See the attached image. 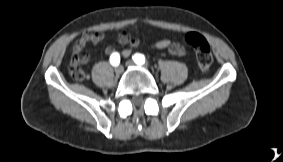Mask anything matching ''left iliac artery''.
Instances as JSON below:
<instances>
[{
    "instance_id": "1",
    "label": "left iliac artery",
    "mask_w": 283,
    "mask_h": 162,
    "mask_svg": "<svg viewBox=\"0 0 283 162\" xmlns=\"http://www.w3.org/2000/svg\"><path fill=\"white\" fill-rule=\"evenodd\" d=\"M133 60H134L135 63H137L139 65H142V64H144L146 62V59H145L144 55L138 54V53L134 54Z\"/></svg>"
}]
</instances>
